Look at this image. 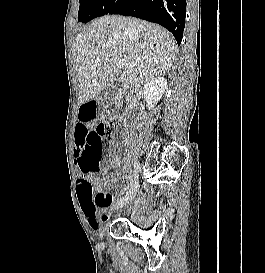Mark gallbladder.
<instances>
[{
	"label": "gallbladder",
	"instance_id": "gallbladder-1",
	"mask_svg": "<svg viewBox=\"0 0 265 273\" xmlns=\"http://www.w3.org/2000/svg\"><path fill=\"white\" fill-rule=\"evenodd\" d=\"M119 82L116 80L113 85L110 87V94L111 96L115 95L119 89Z\"/></svg>",
	"mask_w": 265,
	"mask_h": 273
}]
</instances>
